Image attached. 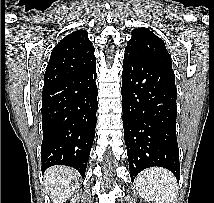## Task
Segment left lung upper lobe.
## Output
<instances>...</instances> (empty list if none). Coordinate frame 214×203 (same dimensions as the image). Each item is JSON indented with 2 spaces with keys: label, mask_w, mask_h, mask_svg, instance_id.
<instances>
[{
  "label": "left lung upper lobe",
  "mask_w": 214,
  "mask_h": 203,
  "mask_svg": "<svg viewBox=\"0 0 214 203\" xmlns=\"http://www.w3.org/2000/svg\"><path fill=\"white\" fill-rule=\"evenodd\" d=\"M131 35L132 37L127 43L125 52L172 69L171 56L163 40L145 27L134 29Z\"/></svg>",
  "instance_id": "5c2ea615"
}]
</instances>
